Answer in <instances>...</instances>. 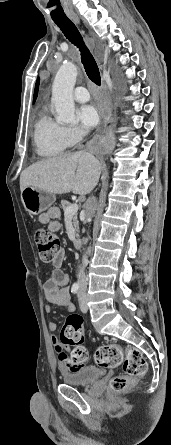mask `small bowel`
<instances>
[{
    "label": "small bowel",
    "mask_w": 171,
    "mask_h": 445,
    "mask_svg": "<svg viewBox=\"0 0 171 445\" xmlns=\"http://www.w3.org/2000/svg\"><path fill=\"white\" fill-rule=\"evenodd\" d=\"M47 225L48 229L53 232H57L60 229V225L56 221H49ZM64 259L65 252L64 250H60L55 260L52 262L54 270L52 271L50 278L44 283L43 292L47 302L45 306L47 313L51 312L53 305L59 306L67 312H72L74 310V305L71 302L68 289L69 275L60 269ZM57 328L58 325L55 321H50L48 323L49 331L55 332ZM50 340L58 354V360L64 369L73 371L84 367L82 366V362H73L71 360L70 355H68L69 347L62 345L56 335H52Z\"/></svg>",
    "instance_id": "small-bowel-1"
}]
</instances>
